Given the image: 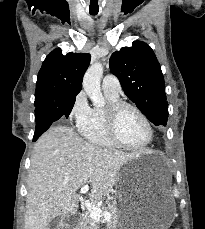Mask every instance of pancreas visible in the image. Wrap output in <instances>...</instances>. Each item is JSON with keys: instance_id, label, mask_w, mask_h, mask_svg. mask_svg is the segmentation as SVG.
Instances as JSON below:
<instances>
[{"instance_id": "1", "label": "pancreas", "mask_w": 205, "mask_h": 229, "mask_svg": "<svg viewBox=\"0 0 205 229\" xmlns=\"http://www.w3.org/2000/svg\"><path fill=\"white\" fill-rule=\"evenodd\" d=\"M104 212H109L112 215V218L109 222H107V229H117V224L119 220L118 215V207L116 203H112L109 206H104L103 208ZM81 229H99L96 222L89 216H87L83 222Z\"/></svg>"}]
</instances>
